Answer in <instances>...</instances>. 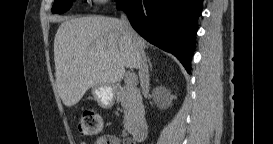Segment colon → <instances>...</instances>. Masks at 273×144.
Here are the masks:
<instances>
[{
    "mask_svg": "<svg viewBox=\"0 0 273 144\" xmlns=\"http://www.w3.org/2000/svg\"><path fill=\"white\" fill-rule=\"evenodd\" d=\"M103 122L100 114L93 108L85 109L78 122V132L81 136L91 137L100 134Z\"/></svg>",
    "mask_w": 273,
    "mask_h": 144,
    "instance_id": "obj_1",
    "label": "colon"
}]
</instances>
